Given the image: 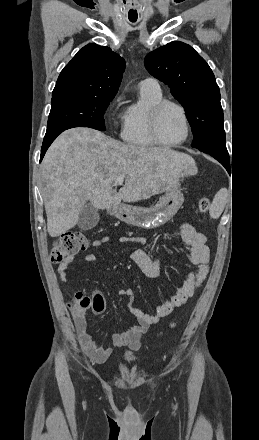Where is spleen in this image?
Instances as JSON below:
<instances>
[{
    "label": "spleen",
    "instance_id": "1",
    "mask_svg": "<svg viewBox=\"0 0 259 440\" xmlns=\"http://www.w3.org/2000/svg\"><path fill=\"white\" fill-rule=\"evenodd\" d=\"M228 198L229 193L226 188H222L216 193L209 211L212 218L217 219L220 217Z\"/></svg>",
    "mask_w": 259,
    "mask_h": 440
}]
</instances>
